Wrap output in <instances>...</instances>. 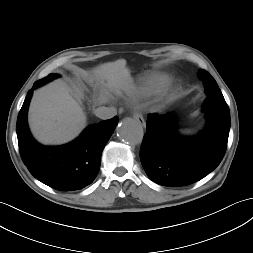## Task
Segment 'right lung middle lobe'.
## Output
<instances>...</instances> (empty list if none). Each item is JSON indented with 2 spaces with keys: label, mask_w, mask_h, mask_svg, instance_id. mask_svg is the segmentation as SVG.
<instances>
[{
  "label": "right lung middle lobe",
  "mask_w": 253,
  "mask_h": 253,
  "mask_svg": "<svg viewBox=\"0 0 253 253\" xmlns=\"http://www.w3.org/2000/svg\"><path fill=\"white\" fill-rule=\"evenodd\" d=\"M58 76H59V75L53 74V73H52V74L48 75L46 78H44V79H42V80H39V81H38V84L43 85V84H45V83H47V82L53 80L54 78H57Z\"/></svg>",
  "instance_id": "right-lung-middle-lobe-1"
}]
</instances>
